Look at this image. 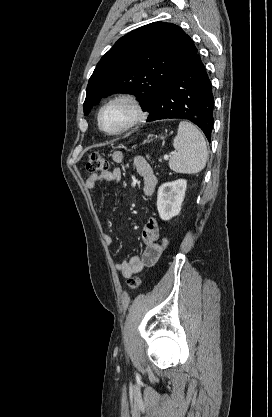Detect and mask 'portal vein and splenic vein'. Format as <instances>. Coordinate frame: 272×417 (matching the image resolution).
<instances>
[{
	"mask_svg": "<svg viewBox=\"0 0 272 417\" xmlns=\"http://www.w3.org/2000/svg\"><path fill=\"white\" fill-rule=\"evenodd\" d=\"M171 154L164 155V160H168Z\"/></svg>",
	"mask_w": 272,
	"mask_h": 417,
	"instance_id": "obj_1",
	"label": "portal vein and splenic vein"
}]
</instances>
